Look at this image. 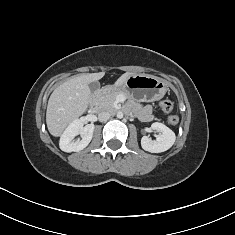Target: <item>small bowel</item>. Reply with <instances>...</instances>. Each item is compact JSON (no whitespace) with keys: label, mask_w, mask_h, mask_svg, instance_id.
<instances>
[{"label":"small bowel","mask_w":235,"mask_h":235,"mask_svg":"<svg viewBox=\"0 0 235 235\" xmlns=\"http://www.w3.org/2000/svg\"><path fill=\"white\" fill-rule=\"evenodd\" d=\"M140 118L143 121H149L152 119V113L150 107H144L140 112Z\"/></svg>","instance_id":"small-bowel-1"}]
</instances>
